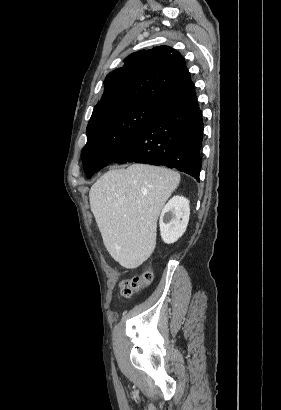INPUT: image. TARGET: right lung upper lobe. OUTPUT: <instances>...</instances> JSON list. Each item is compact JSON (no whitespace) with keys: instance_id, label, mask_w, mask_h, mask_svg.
I'll use <instances>...</instances> for the list:
<instances>
[{"instance_id":"obj_1","label":"right lung upper lobe","mask_w":281,"mask_h":410,"mask_svg":"<svg viewBox=\"0 0 281 410\" xmlns=\"http://www.w3.org/2000/svg\"><path fill=\"white\" fill-rule=\"evenodd\" d=\"M105 90L93 113L111 106L144 103L159 108L194 91L182 55L168 46L141 50L108 74Z\"/></svg>"}]
</instances>
